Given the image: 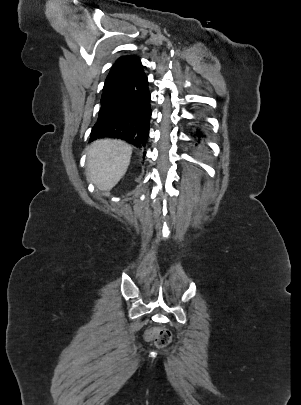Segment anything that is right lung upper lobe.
Here are the masks:
<instances>
[{"label":"right lung upper lobe","instance_id":"right-lung-upper-lobe-1","mask_svg":"<svg viewBox=\"0 0 301 405\" xmlns=\"http://www.w3.org/2000/svg\"><path fill=\"white\" fill-rule=\"evenodd\" d=\"M137 59H138V57L132 56V55L121 56L116 61V63L113 65V67L111 68V70L106 78L103 89L107 88L113 82H115L129 68V66Z\"/></svg>","mask_w":301,"mask_h":405}]
</instances>
